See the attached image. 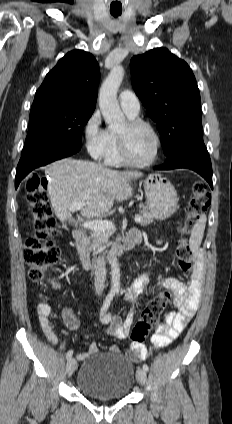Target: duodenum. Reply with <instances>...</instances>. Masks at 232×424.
<instances>
[{"mask_svg":"<svg viewBox=\"0 0 232 424\" xmlns=\"http://www.w3.org/2000/svg\"><path fill=\"white\" fill-rule=\"evenodd\" d=\"M136 232V234H132ZM73 239L75 241L76 249L79 255V258L83 264V267L87 270L91 269L93 266V261L90 256L86 244V234L83 230H75L73 232ZM141 241V235L137 231H131L126 235L122 236L115 244V247L112 251V256H119L124 251H127L139 244Z\"/></svg>","mask_w":232,"mask_h":424,"instance_id":"1","label":"duodenum"}]
</instances>
